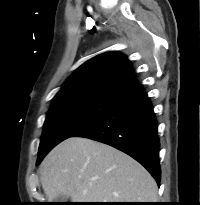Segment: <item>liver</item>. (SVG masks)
<instances>
[{
    "label": "liver",
    "mask_w": 200,
    "mask_h": 205,
    "mask_svg": "<svg viewBox=\"0 0 200 205\" xmlns=\"http://www.w3.org/2000/svg\"><path fill=\"white\" fill-rule=\"evenodd\" d=\"M41 184L48 200L156 202L155 180L123 152L87 138L64 140L44 158Z\"/></svg>",
    "instance_id": "6515ba94"
}]
</instances>
